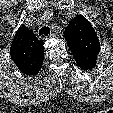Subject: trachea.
I'll list each match as a JSON object with an SVG mask.
<instances>
[{
    "label": "trachea",
    "instance_id": "obj_1",
    "mask_svg": "<svg viewBox=\"0 0 113 113\" xmlns=\"http://www.w3.org/2000/svg\"><path fill=\"white\" fill-rule=\"evenodd\" d=\"M49 33H50V28H49L48 26H44V27H42V28L39 30V35H40V36H41V35L47 36V35H49Z\"/></svg>",
    "mask_w": 113,
    "mask_h": 113
}]
</instances>
